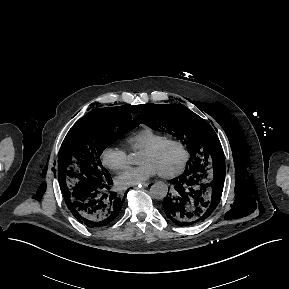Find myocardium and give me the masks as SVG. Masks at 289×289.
<instances>
[{
	"label": "myocardium",
	"mask_w": 289,
	"mask_h": 289,
	"mask_svg": "<svg viewBox=\"0 0 289 289\" xmlns=\"http://www.w3.org/2000/svg\"><path fill=\"white\" fill-rule=\"evenodd\" d=\"M169 144H175V145L179 146L180 149L182 150L183 157H182V161H181L180 165L176 169L169 171V172H165V173H159L160 176H162L164 178L176 177V176L180 175L185 170V168L188 164V161L190 159V152H189L187 145L182 140H180L178 138L167 137V138L161 140L160 142L142 150L143 152L157 153L163 147H165Z\"/></svg>",
	"instance_id": "myocardium-1"
}]
</instances>
